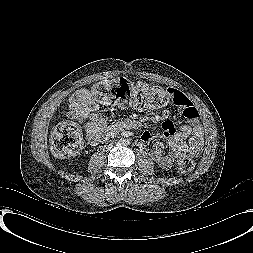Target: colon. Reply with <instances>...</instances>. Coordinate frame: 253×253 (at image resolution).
<instances>
[{"mask_svg":"<svg viewBox=\"0 0 253 253\" xmlns=\"http://www.w3.org/2000/svg\"><path fill=\"white\" fill-rule=\"evenodd\" d=\"M92 94L103 104L131 106L140 110L163 106L173 101L176 95L169 89L130 83L124 79L99 82L93 87ZM82 142L80 128L73 123L63 122L53 132L51 147L56 156L68 157L80 150ZM178 167L182 172H190L194 168V160L189 155H182L178 160Z\"/></svg>","mask_w":253,"mask_h":253,"instance_id":"obj_1","label":"colon"}]
</instances>
